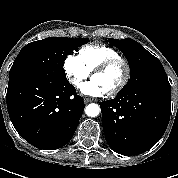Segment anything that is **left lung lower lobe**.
<instances>
[{"label": "left lung lower lobe", "mask_w": 178, "mask_h": 178, "mask_svg": "<svg viewBox=\"0 0 178 178\" xmlns=\"http://www.w3.org/2000/svg\"><path fill=\"white\" fill-rule=\"evenodd\" d=\"M100 107L110 148L122 155H138L153 147L168 126L170 86L148 84L122 90Z\"/></svg>", "instance_id": "left-lung-lower-lobe-1"}]
</instances>
